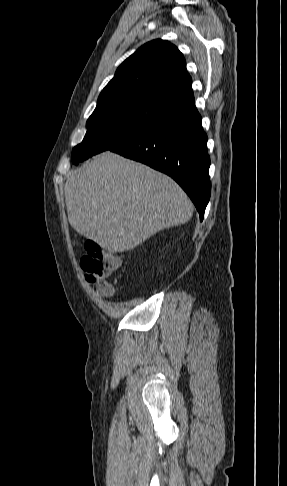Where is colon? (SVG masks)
<instances>
[{"label":"colon","mask_w":287,"mask_h":486,"mask_svg":"<svg viewBox=\"0 0 287 486\" xmlns=\"http://www.w3.org/2000/svg\"><path fill=\"white\" fill-rule=\"evenodd\" d=\"M85 250L80 266L86 280L94 285L102 296H111L114 287L108 279L119 268V258L104 252L96 242L91 240L86 242Z\"/></svg>","instance_id":"colon-1"}]
</instances>
